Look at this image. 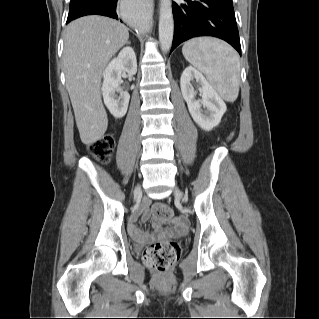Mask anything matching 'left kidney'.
<instances>
[{
  "label": "left kidney",
  "mask_w": 319,
  "mask_h": 319,
  "mask_svg": "<svg viewBox=\"0 0 319 319\" xmlns=\"http://www.w3.org/2000/svg\"><path fill=\"white\" fill-rule=\"evenodd\" d=\"M194 80L200 88L202 99H195V91L191 84ZM180 87L193 120L206 131L216 127L227 107L205 77L192 66H188L181 75Z\"/></svg>",
  "instance_id": "1"
}]
</instances>
